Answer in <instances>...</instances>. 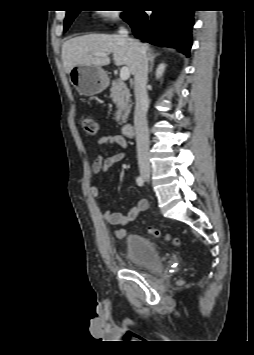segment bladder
I'll use <instances>...</instances> for the list:
<instances>
[{"label":"bladder","instance_id":"bladder-1","mask_svg":"<svg viewBox=\"0 0 254 355\" xmlns=\"http://www.w3.org/2000/svg\"><path fill=\"white\" fill-rule=\"evenodd\" d=\"M127 259L140 269L158 270L162 267V255L158 245L141 234L127 237Z\"/></svg>","mask_w":254,"mask_h":355}]
</instances>
